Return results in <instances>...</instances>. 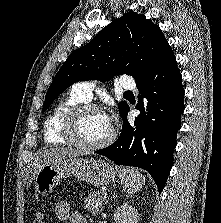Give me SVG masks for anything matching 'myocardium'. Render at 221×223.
Listing matches in <instances>:
<instances>
[{"instance_id": "obj_1", "label": "myocardium", "mask_w": 221, "mask_h": 223, "mask_svg": "<svg viewBox=\"0 0 221 223\" xmlns=\"http://www.w3.org/2000/svg\"><path fill=\"white\" fill-rule=\"evenodd\" d=\"M92 110L103 112L100 106L93 103L85 102L75 105L66 112L61 126L62 137L71 145L82 151H96L105 148L109 146L116 137V130L111 125L109 135L98 143L86 144L76 138L75 130L80 117L84 113Z\"/></svg>"}]
</instances>
